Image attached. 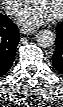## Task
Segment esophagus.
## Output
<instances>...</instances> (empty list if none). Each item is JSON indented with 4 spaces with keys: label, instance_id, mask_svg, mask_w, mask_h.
<instances>
[{
    "label": "esophagus",
    "instance_id": "esophagus-1",
    "mask_svg": "<svg viewBox=\"0 0 63 107\" xmlns=\"http://www.w3.org/2000/svg\"><path fill=\"white\" fill-rule=\"evenodd\" d=\"M35 32H36V29H34V28H28V27H22L21 28V33H23V34L29 35V34H32Z\"/></svg>",
    "mask_w": 63,
    "mask_h": 107
}]
</instances>
